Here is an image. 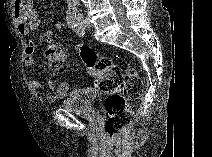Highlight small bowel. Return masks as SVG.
I'll use <instances>...</instances> for the list:
<instances>
[{
  "label": "small bowel",
  "instance_id": "small-bowel-1",
  "mask_svg": "<svg viewBox=\"0 0 212 157\" xmlns=\"http://www.w3.org/2000/svg\"><path fill=\"white\" fill-rule=\"evenodd\" d=\"M13 15L16 20L18 32L25 37L24 48V63L27 67H32L35 64V48L36 41L31 36L32 32L37 30L41 24L40 17L34 8L32 1L16 0L13 4ZM63 28L61 21H56L54 29H47L44 32L45 37L50 38L54 35V30L59 31ZM48 85L54 89V92L47 94L46 99L48 102H54L57 98L64 97L68 92V84L62 82L54 88L53 81L47 79ZM27 84L33 89H41L42 84L39 81L28 79Z\"/></svg>",
  "mask_w": 212,
  "mask_h": 157
}]
</instances>
